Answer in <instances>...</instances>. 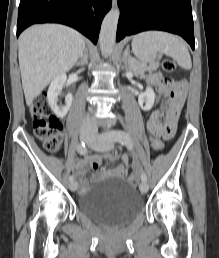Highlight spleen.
Wrapping results in <instances>:
<instances>
[{
	"mask_svg": "<svg viewBox=\"0 0 219 258\" xmlns=\"http://www.w3.org/2000/svg\"><path fill=\"white\" fill-rule=\"evenodd\" d=\"M134 55L144 63L154 61L156 54L173 57L184 69H191L192 63L185 42L178 36L163 31H145L132 40Z\"/></svg>",
	"mask_w": 219,
	"mask_h": 258,
	"instance_id": "1",
	"label": "spleen"
}]
</instances>
